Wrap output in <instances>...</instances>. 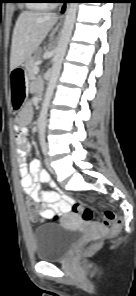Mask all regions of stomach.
Returning <instances> with one entry per match:
<instances>
[{
  "instance_id": "1",
  "label": "stomach",
  "mask_w": 136,
  "mask_h": 296,
  "mask_svg": "<svg viewBox=\"0 0 136 296\" xmlns=\"http://www.w3.org/2000/svg\"><path fill=\"white\" fill-rule=\"evenodd\" d=\"M26 74L27 69H12V84H26ZM25 90H28V85L11 86L13 98L11 108H13V111H21V108L25 105V101H30V96H28V93H25Z\"/></svg>"
}]
</instances>
